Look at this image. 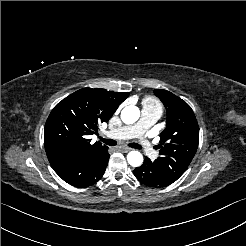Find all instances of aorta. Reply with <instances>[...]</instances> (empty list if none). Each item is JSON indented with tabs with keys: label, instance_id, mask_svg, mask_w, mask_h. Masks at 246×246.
<instances>
[{
	"label": "aorta",
	"instance_id": "aorta-1",
	"mask_svg": "<svg viewBox=\"0 0 246 246\" xmlns=\"http://www.w3.org/2000/svg\"><path fill=\"white\" fill-rule=\"evenodd\" d=\"M140 116V110L137 106L130 105L126 106L121 111V120L125 124H133L135 123ZM128 163L133 167H139L143 163V156L139 151H131L127 155Z\"/></svg>",
	"mask_w": 246,
	"mask_h": 246
}]
</instances>
